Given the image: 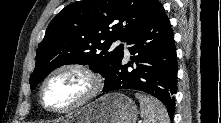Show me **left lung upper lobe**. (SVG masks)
<instances>
[{
	"mask_svg": "<svg viewBox=\"0 0 221 123\" xmlns=\"http://www.w3.org/2000/svg\"><path fill=\"white\" fill-rule=\"evenodd\" d=\"M157 0H82L62 9L50 22L36 53L30 76L34 89L49 73L65 64H88L107 78L123 45L151 13Z\"/></svg>",
	"mask_w": 221,
	"mask_h": 123,
	"instance_id": "left-lung-upper-lobe-1",
	"label": "left lung upper lobe"
}]
</instances>
